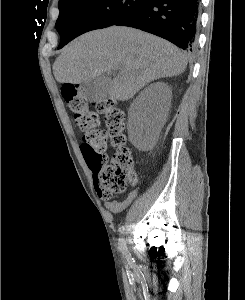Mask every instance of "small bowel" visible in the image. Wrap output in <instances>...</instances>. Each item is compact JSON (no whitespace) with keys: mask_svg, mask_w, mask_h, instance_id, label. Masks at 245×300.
<instances>
[{"mask_svg":"<svg viewBox=\"0 0 245 300\" xmlns=\"http://www.w3.org/2000/svg\"><path fill=\"white\" fill-rule=\"evenodd\" d=\"M137 191H130L122 201L110 200L105 203L106 208L114 213H118L127 208L131 202L136 198Z\"/></svg>","mask_w":245,"mask_h":300,"instance_id":"obj_1","label":"small bowel"}]
</instances>
